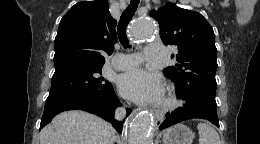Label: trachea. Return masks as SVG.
Instances as JSON below:
<instances>
[{"label": "trachea", "instance_id": "obj_1", "mask_svg": "<svg viewBox=\"0 0 260 144\" xmlns=\"http://www.w3.org/2000/svg\"><path fill=\"white\" fill-rule=\"evenodd\" d=\"M139 3L140 0H131L130 4L128 5L126 10H124V12L120 17V21L117 26V34H118L119 41L124 48L129 46V41L126 35V28L128 23L131 21L132 17L134 16Z\"/></svg>", "mask_w": 260, "mask_h": 144}]
</instances>
